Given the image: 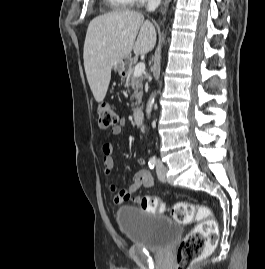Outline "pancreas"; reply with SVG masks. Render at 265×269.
<instances>
[{"label": "pancreas", "mask_w": 265, "mask_h": 269, "mask_svg": "<svg viewBox=\"0 0 265 269\" xmlns=\"http://www.w3.org/2000/svg\"><path fill=\"white\" fill-rule=\"evenodd\" d=\"M132 69H130L126 74L125 87L131 88L134 90V94L131 96V99H135V103L132 104V110L135 111L137 109L138 104L141 103L142 100V80L141 76L134 77L132 74Z\"/></svg>", "instance_id": "cf45deb5"}]
</instances>
